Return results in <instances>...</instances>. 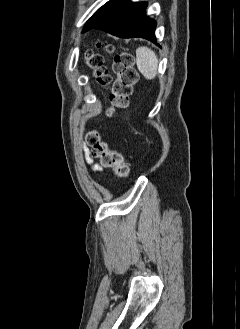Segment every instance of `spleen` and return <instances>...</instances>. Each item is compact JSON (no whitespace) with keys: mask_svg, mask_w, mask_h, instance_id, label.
<instances>
[{"mask_svg":"<svg viewBox=\"0 0 240 329\" xmlns=\"http://www.w3.org/2000/svg\"><path fill=\"white\" fill-rule=\"evenodd\" d=\"M136 62L138 70L148 79H154L157 75L158 59L154 51L148 47H139L136 50Z\"/></svg>","mask_w":240,"mask_h":329,"instance_id":"3e777b00","label":"spleen"}]
</instances>
